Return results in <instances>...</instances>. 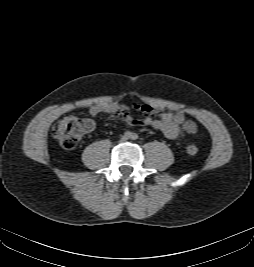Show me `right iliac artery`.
Instances as JSON below:
<instances>
[{"label":"right iliac artery","mask_w":254,"mask_h":267,"mask_svg":"<svg viewBox=\"0 0 254 267\" xmlns=\"http://www.w3.org/2000/svg\"><path fill=\"white\" fill-rule=\"evenodd\" d=\"M124 136L126 138H130L132 136V133L130 131H127V132L124 133Z\"/></svg>","instance_id":"right-iliac-artery-1"}]
</instances>
